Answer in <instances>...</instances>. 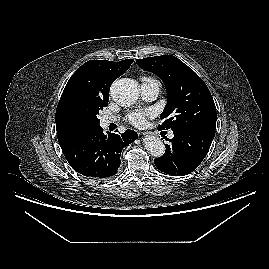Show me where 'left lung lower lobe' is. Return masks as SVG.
<instances>
[{
  "label": "left lung lower lobe",
  "instance_id": "left-lung-lower-lobe-1",
  "mask_svg": "<svg viewBox=\"0 0 269 269\" xmlns=\"http://www.w3.org/2000/svg\"><path fill=\"white\" fill-rule=\"evenodd\" d=\"M171 145H166L165 154L156 158V167L172 176H184L193 172L207 155L215 136V131L197 129L173 132Z\"/></svg>",
  "mask_w": 269,
  "mask_h": 269
}]
</instances>
